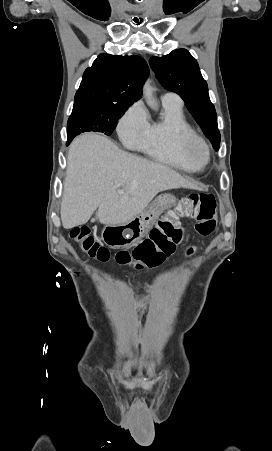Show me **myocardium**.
<instances>
[{"label":"myocardium","mask_w":272,"mask_h":451,"mask_svg":"<svg viewBox=\"0 0 272 451\" xmlns=\"http://www.w3.org/2000/svg\"><path fill=\"white\" fill-rule=\"evenodd\" d=\"M173 138L180 145L181 157L191 173L202 171L211 163V150L205 140L193 132L175 131ZM200 150L205 155L203 165H196L194 161V151Z\"/></svg>","instance_id":"1"}]
</instances>
